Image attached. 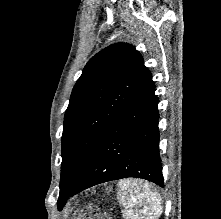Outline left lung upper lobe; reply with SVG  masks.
I'll return each instance as SVG.
<instances>
[{
	"mask_svg": "<svg viewBox=\"0 0 221 219\" xmlns=\"http://www.w3.org/2000/svg\"><path fill=\"white\" fill-rule=\"evenodd\" d=\"M150 78L140 53L126 43L108 46L86 64L65 112L60 210L106 130Z\"/></svg>",
	"mask_w": 221,
	"mask_h": 219,
	"instance_id": "left-lung-upper-lobe-1",
	"label": "left lung upper lobe"
}]
</instances>
